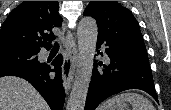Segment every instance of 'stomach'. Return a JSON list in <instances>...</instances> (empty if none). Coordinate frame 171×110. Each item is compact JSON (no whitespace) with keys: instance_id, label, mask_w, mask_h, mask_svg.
<instances>
[{"instance_id":"0dacf381","label":"stomach","mask_w":171,"mask_h":110,"mask_svg":"<svg viewBox=\"0 0 171 110\" xmlns=\"http://www.w3.org/2000/svg\"><path fill=\"white\" fill-rule=\"evenodd\" d=\"M118 110H129L126 102H122L117 106Z\"/></svg>"}]
</instances>
